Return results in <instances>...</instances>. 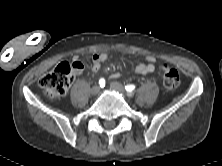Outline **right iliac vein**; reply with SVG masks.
I'll return each instance as SVG.
<instances>
[{
    "instance_id": "1",
    "label": "right iliac vein",
    "mask_w": 222,
    "mask_h": 166,
    "mask_svg": "<svg viewBox=\"0 0 222 166\" xmlns=\"http://www.w3.org/2000/svg\"><path fill=\"white\" fill-rule=\"evenodd\" d=\"M100 92V87L98 85H95L91 88V94L97 95Z\"/></svg>"
}]
</instances>
